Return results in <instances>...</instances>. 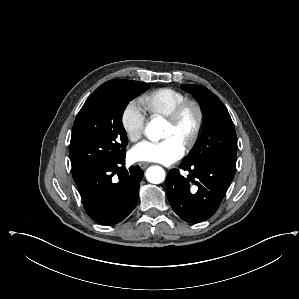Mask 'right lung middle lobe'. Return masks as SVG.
Returning <instances> with one entry per match:
<instances>
[{
    "label": "right lung middle lobe",
    "mask_w": 299,
    "mask_h": 299,
    "mask_svg": "<svg viewBox=\"0 0 299 299\" xmlns=\"http://www.w3.org/2000/svg\"><path fill=\"white\" fill-rule=\"evenodd\" d=\"M148 87V83L118 80L99 87L87 99L74 122L70 142L75 181L125 154L128 139L122 124L123 111Z\"/></svg>",
    "instance_id": "dd1d6c3e"
}]
</instances>
